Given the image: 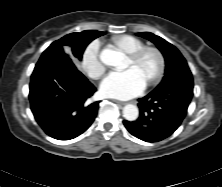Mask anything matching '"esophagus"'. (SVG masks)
<instances>
[{
  "instance_id": "34e87169",
  "label": "esophagus",
  "mask_w": 222,
  "mask_h": 187,
  "mask_svg": "<svg viewBox=\"0 0 222 187\" xmlns=\"http://www.w3.org/2000/svg\"><path fill=\"white\" fill-rule=\"evenodd\" d=\"M111 101H113V102H115V103H117L119 105H125L124 102H121V101H118V100H115V99H112Z\"/></svg>"
}]
</instances>
